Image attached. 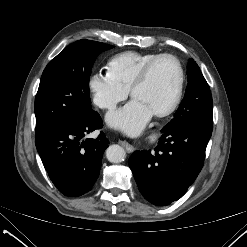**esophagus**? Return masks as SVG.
<instances>
[{
  "label": "esophagus",
  "mask_w": 247,
  "mask_h": 247,
  "mask_svg": "<svg viewBox=\"0 0 247 247\" xmlns=\"http://www.w3.org/2000/svg\"><path fill=\"white\" fill-rule=\"evenodd\" d=\"M121 144V146H123L125 148V150L128 152V153H131L133 152L134 148L128 144L127 142H124V141H120L119 142Z\"/></svg>",
  "instance_id": "esophagus-1"
}]
</instances>
